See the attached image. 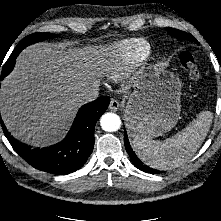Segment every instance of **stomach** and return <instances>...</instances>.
<instances>
[{"label": "stomach", "mask_w": 221, "mask_h": 221, "mask_svg": "<svg viewBox=\"0 0 221 221\" xmlns=\"http://www.w3.org/2000/svg\"><path fill=\"white\" fill-rule=\"evenodd\" d=\"M125 109L126 127L135 138L152 139L175 127L181 114V83L160 66L140 76Z\"/></svg>", "instance_id": "stomach-1"}]
</instances>
